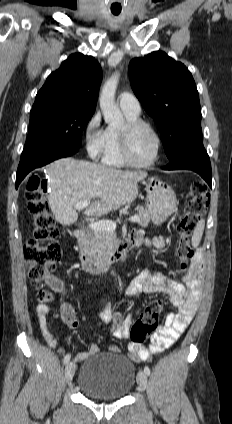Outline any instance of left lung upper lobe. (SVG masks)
Instances as JSON below:
<instances>
[{
	"mask_svg": "<svg viewBox=\"0 0 232 424\" xmlns=\"http://www.w3.org/2000/svg\"><path fill=\"white\" fill-rule=\"evenodd\" d=\"M132 89L155 120L170 159L188 140L201 135L198 91L190 71L162 51L129 64Z\"/></svg>",
	"mask_w": 232,
	"mask_h": 424,
	"instance_id": "left-lung-upper-lobe-1",
	"label": "left lung upper lobe"
}]
</instances>
